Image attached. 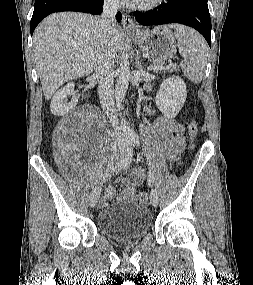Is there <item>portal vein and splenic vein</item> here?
<instances>
[{"mask_svg": "<svg viewBox=\"0 0 253 285\" xmlns=\"http://www.w3.org/2000/svg\"><path fill=\"white\" fill-rule=\"evenodd\" d=\"M173 64L170 63L166 68L168 69L170 66H172ZM159 69H164L163 66H158V65H150L148 67V70H159Z\"/></svg>", "mask_w": 253, "mask_h": 285, "instance_id": "portal-vein-and-splenic-vein-1", "label": "portal vein and splenic vein"}]
</instances>
